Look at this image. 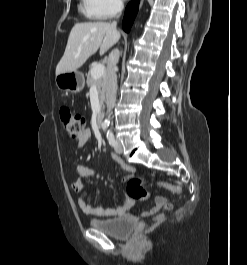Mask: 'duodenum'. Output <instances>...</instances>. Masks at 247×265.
Masks as SVG:
<instances>
[{
	"mask_svg": "<svg viewBox=\"0 0 247 265\" xmlns=\"http://www.w3.org/2000/svg\"><path fill=\"white\" fill-rule=\"evenodd\" d=\"M96 124L98 127H102L103 125V115L99 114L96 118Z\"/></svg>",
	"mask_w": 247,
	"mask_h": 265,
	"instance_id": "obj_1",
	"label": "duodenum"
}]
</instances>
